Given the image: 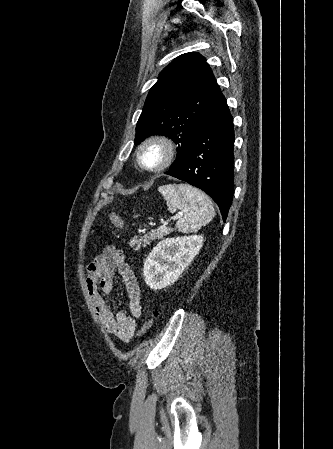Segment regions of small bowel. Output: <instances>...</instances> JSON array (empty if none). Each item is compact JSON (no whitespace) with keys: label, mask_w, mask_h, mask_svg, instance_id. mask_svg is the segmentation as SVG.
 <instances>
[{"label":"small bowel","mask_w":333,"mask_h":449,"mask_svg":"<svg viewBox=\"0 0 333 449\" xmlns=\"http://www.w3.org/2000/svg\"><path fill=\"white\" fill-rule=\"evenodd\" d=\"M120 276L128 299V311L113 312L103 294L111 293L113 277ZM86 285L95 313L105 330L123 342L135 335L137 320L142 313V297L136 275L125 262L123 252L106 247L86 268Z\"/></svg>","instance_id":"obj_1"}]
</instances>
